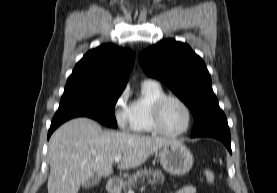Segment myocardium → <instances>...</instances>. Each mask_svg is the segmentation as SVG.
I'll list each match as a JSON object with an SVG mask.
<instances>
[{
	"label": "myocardium",
	"instance_id": "1",
	"mask_svg": "<svg viewBox=\"0 0 277 193\" xmlns=\"http://www.w3.org/2000/svg\"><path fill=\"white\" fill-rule=\"evenodd\" d=\"M168 100H175L179 102L184 107L187 113V123L185 127L176 132H170L166 130L162 124V108L165 102ZM151 116H152V124H153L154 131L166 137H178L185 134L190 129L193 122L192 110L188 105V103L181 97L174 94H165L159 97L152 106Z\"/></svg>",
	"mask_w": 277,
	"mask_h": 193
}]
</instances>
